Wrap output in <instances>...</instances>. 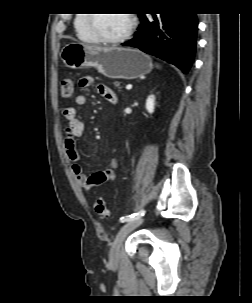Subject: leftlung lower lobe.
I'll list each match as a JSON object with an SVG mask.
<instances>
[{"label": "left lung lower lobe", "mask_w": 252, "mask_h": 303, "mask_svg": "<svg viewBox=\"0 0 252 303\" xmlns=\"http://www.w3.org/2000/svg\"><path fill=\"white\" fill-rule=\"evenodd\" d=\"M139 14L141 24L133 39L123 43L159 57L188 73L195 56L197 17L193 13Z\"/></svg>", "instance_id": "left-lung-lower-lobe-1"}]
</instances>
